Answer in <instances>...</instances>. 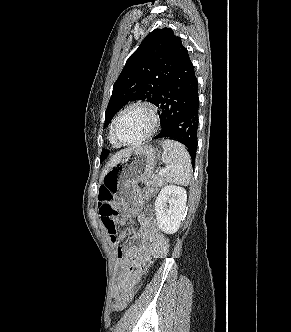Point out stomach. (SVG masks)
<instances>
[{
    "label": "stomach",
    "mask_w": 291,
    "mask_h": 332,
    "mask_svg": "<svg viewBox=\"0 0 291 332\" xmlns=\"http://www.w3.org/2000/svg\"><path fill=\"white\" fill-rule=\"evenodd\" d=\"M157 159L158 155L152 147L135 148L108 170L102 185L126 210L136 212L140 206L137 184L150 178Z\"/></svg>",
    "instance_id": "1"
}]
</instances>
